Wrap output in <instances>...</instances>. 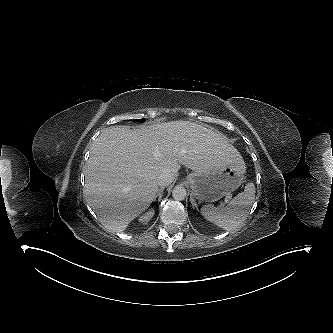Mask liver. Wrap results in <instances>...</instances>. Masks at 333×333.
Segmentation results:
<instances>
[{"label": "liver", "mask_w": 333, "mask_h": 333, "mask_svg": "<svg viewBox=\"0 0 333 333\" xmlns=\"http://www.w3.org/2000/svg\"><path fill=\"white\" fill-rule=\"evenodd\" d=\"M239 158L224 135L189 121L137 130L111 126L91 149L86 199L105 227L122 232L154 201L160 174L168 173L174 180L181 165L201 172Z\"/></svg>", "instance_id": "liver-1"}]
</instances>
